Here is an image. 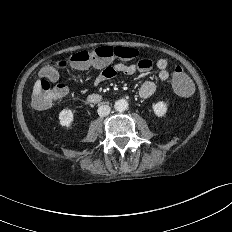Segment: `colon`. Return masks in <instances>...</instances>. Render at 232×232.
<instances>
[{"instance_id":"5ec220e1","label":"colon","mask_w":232,"mask_h":232,"mask_svg":"<svg viewBox=\"0 0 232 232\" xmlns=\"http://www.w3.org/2000/svg\"><path fill=\"white\" fill-rule=\"evenodd\" d=\"M139 51L131 47L123 46H102L93 50H83L74 53L68 60L52 61L41 69V79L38 91L32 98V106L36 110L49 108L52 103L67 94V87L64 84L51 86L50 82L58 79L59 70L68 65L77 70H83L91 64H103L113 59L129 61L136 58ZM172 86L174 91L183 97L192 93L191 80L181 66L177 65L173 72Z\"/></svg>"}]
</instances>
